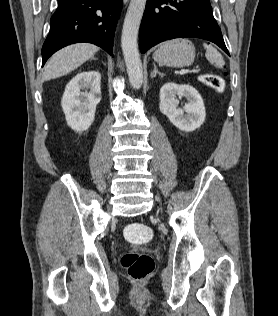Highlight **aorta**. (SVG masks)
I'll return each instance as SVG.
<instances>
[{
    "instance_id": "obj_1",
    "label": "aorta",
    "mask_w": 278,
    "mask_h": 316,
    "mask_svg": "<svg viewBox=\"0 0 278 316\" xmlns=\"http://www.w3.org/2000/svg\"><path fill=\"white\" fill-rule=\"evenodd\" d=\"M147 0H131L123 24L121 47L129 81L134 89L143 83V68L138 51V32Z\"/></svg>"
}]
</instances>
